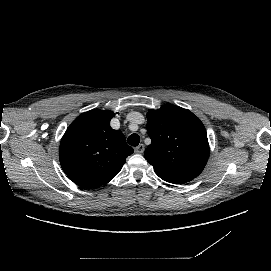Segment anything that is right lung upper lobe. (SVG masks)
Masks as SVG:
<instances>
[{"instance_id": "cb5924a9", "label": "right lung upper lobe", "mask_w": 271, "mask_h": 271, "mask_svg": "<svg viewBox=\"0 0 271 271\" xmlns=\"http://www.w3.org/2000/svg\"><path fill=\"white\" fill-rule=\"evenodd\" d=\"M115 114L91 110L77 117L60 143L59 158L65 174L84 188L111 181L134 151L120 130L110 127Z\"/></svg>"}]
</instances>
